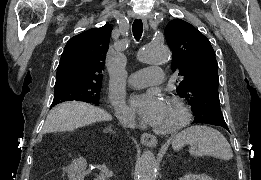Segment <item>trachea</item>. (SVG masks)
I'll use <instances>...</instances> for the list:
<instances>
[{"instance_id":"1","label":"trachea","mask_w":261,"mask_h":180,"mask_svg":"<svg viewBox=\"0 0 261 180\" xmlns=\"http://www.w3.org/2000/svg\"><path fill=\"white\" fill-rule=\"evenodd\" d=\"M132 32L136 40H140L143 33V22L142 20H134L132 25Z\"/></svg>"}]
</instances>
